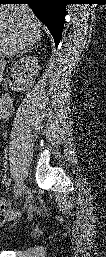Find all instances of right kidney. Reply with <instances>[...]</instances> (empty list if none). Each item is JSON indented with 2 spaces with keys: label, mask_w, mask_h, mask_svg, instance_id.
I'll return each instance as SVG.
<instances>
[{
  "label": "right kidney",
  "mask_w": 106,
  "mask_h": 257,
  "mask_svg": "<svg viewBox=\"0 0 106 257\" xmlns=\"http://www.w3.org/2000/svg\"><path fill=\"white\" fill-rule=\"evenodd\" d=\"M37 69L38 60L36 57L28 56L15 63L11 68L13 77L16 79L15 89L25 91L28 86L32 85ZM0 102L2 110L12 107V101L8 94L2 95Z\"/></svg>",
  "instance_id": "obj_1"
}]
</instances>
